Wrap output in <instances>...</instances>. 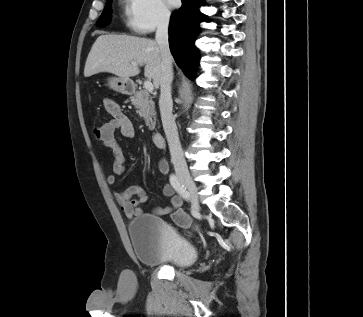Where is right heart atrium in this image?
I'll return each mask as SVG.
<instances>
[{"label": "right heart atrium", "instance_id": "right-heart-atrium-1", "mask_svg": "<svg viewBox=\"0 0 363 317\" xmlns=\"http://www.w3.org/2000/svg\"><path fill=\"white\" fill-rule=\"evenodd\" d=\"M126 21L138 34H148L168 25L171 12L164 0H126Z\"/></svg>", "mask_w": 363, "mask_h": 317}]
</instances>
